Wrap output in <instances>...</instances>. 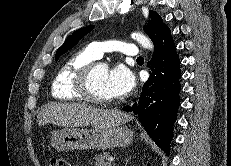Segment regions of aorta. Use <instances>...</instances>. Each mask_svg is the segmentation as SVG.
I'll use <instances>...</instances> for the list:
<instances>
[{"label":"aorta","mask_w":231,"mask_h":166,"mask_svg":"<svg viewBox=\"0 0 231 166\" xmlns=\"http://www.w3.org/2000/svg\"><path fill=\"white\" fill-rule=\"evenodd\" d=\"M131 37L135 39L138 43L142 45L143 48L148 49V50H153L154 46L151 40L144 36L141 33H132ZM105 67H107L106 64H104Z\"/></svg>","instance_id":"1"}]
</instances>
